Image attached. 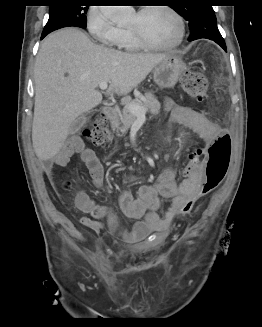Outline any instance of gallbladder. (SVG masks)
Segmentation results:
<instances>
[{
    "instance_id": "1",
    "label": "gallbladder",
    "mask_w": 262,
    "mask_h": 327,
    "mask_svg": "<svg viewBox=\"0 0 262 327\" xmlns=\"http://www.w3.org/2000/svg\"><path fill=\"white\" fill-rule=\"evenodd\" d=\"M87 117L86 115H81L77 117L70 125L69 133L75 134L77 133L86 123Z\"/></svg>"
}]
</instances>
